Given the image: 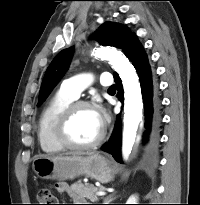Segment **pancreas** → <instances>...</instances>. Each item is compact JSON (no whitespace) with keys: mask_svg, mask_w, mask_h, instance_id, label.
Returning <instances> with one entry per match:
<instances>
[{"mask_svg":"<svg viewBox=\"0 0 200 205\" xmlns=\"http://www.w3.org/2000/svg\"><path fill=\"white\" fill-rule=\"evenodd\" d=\"M102 187H95L93 184H83L81 180L73 183L70 188V197L73 201H86L89 199L92 202L98 201L96 192L102 190Z\"/></svg>","mask_w":200,"mask_h":205,"instance_id":"pancreas-1","label":"pancreas"}]
</instances>
